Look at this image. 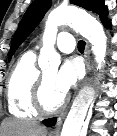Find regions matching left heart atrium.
Returning <instances> with one entry per match:
<instances>
[{
  "instance_id": "1",
  "label": "left heart atrium",
  "mask_w": 117,
  "mask_h": 136,
  "mask_svg": "<svg viewBox=\"0 0 117 136\" xmlns=\"http://www.w3.org/2000/svg\"><path fill=\"white\" fill-rule=\"evenodd\" d=\"M82 76V67L73 59L63 61L56 73L54 85L56 90L65 96L73 88Z\"/></svg>"
}]
</instances>
